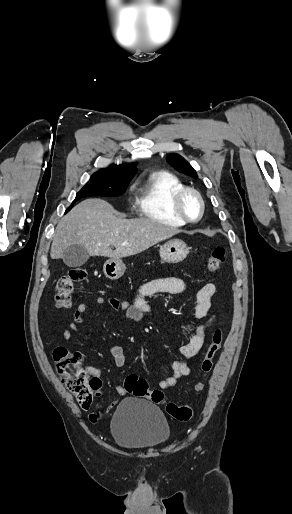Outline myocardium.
Instances as JSON below:
<instances>
[{
    "label": "myocardium",
    "mask_w": 292,
    "mask_h": 514,
    "mask_svg": "<svg viewBox=\"0 0 292 514\" xmlns=\"http://www.w3.org/2000/svg\"><path fill=\"white\" fill-rule=\"evenodd\" d=\"M186 194H192L198 201L199 214H198L197 218H195V219L189 218L182 211L181 200H182L183 196ZM169 202H170V209H171L172 213L177 218H179L180 220H182L185 223L198 222L199 220H201V218L204 215L205 206H204V201H203L202 195L200 194V192L198 190H196L193 187L182 186L181 188L176 189L175 191L172 192Z\"/></svg>",
    "instance_id": "myocardium-1"
}]
</instances>
